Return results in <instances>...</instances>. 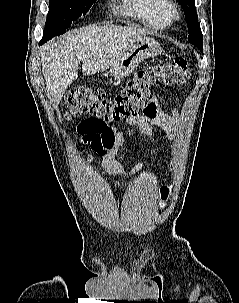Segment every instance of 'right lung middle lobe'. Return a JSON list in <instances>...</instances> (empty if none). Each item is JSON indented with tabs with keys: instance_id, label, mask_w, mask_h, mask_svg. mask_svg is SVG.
Masks as SVG:
<instances>
[{
	"instance_id": "dd1d6c3e",
	"label": "right lung middle lobe",
	"mask_w": 239,
	"mask_h": 303,
	"mask_svg": "<svg viewBox=\"0 0 239 303\" xmlns=\"http://www.w3.org/2000/svg\"><path fill=\"white\" fill-rule=\"evenodd\" d=\"M96 0H49V12L44 36L50 39L65 33L66 28L81 15L87 13Z\"/></svg>"
}]
</instances>
